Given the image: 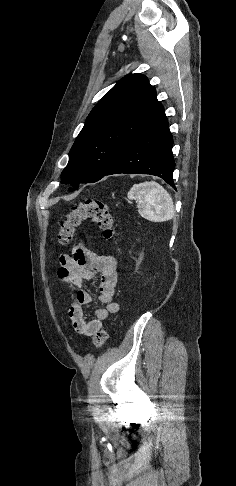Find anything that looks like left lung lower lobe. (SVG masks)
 I'll return each instance as SVG.
<instances>
[{
	"label": "left lung lower lobe",
	"instance_id": "0a47b994",
	"mask_svg": "<svg viewBox=\"0 0 236 486\" xmlns=\"http://www.w3.org/2000/svg\"><path fill=\"white\" fill-rule=\"evenodd\" d=\"M173 138L165 112L142 131L105 175L133 173L161 177L175 188Z\"/></svg>",
	"mask_w": 236,
	"mask_h": 486
}]
</instances>
